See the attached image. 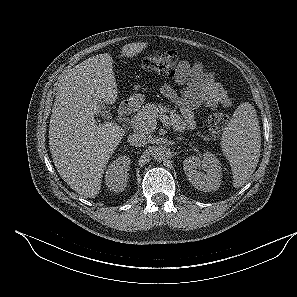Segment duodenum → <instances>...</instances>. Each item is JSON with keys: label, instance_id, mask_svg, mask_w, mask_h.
<instances>
[{"label": "duodenum", "instance_id": "duodenum-1", "mask_svg": "<svg viewBox=\"0 0 297 297\" xmlns=\"http://www.w3.org/2000/svg\"><path fill=\"white\" fill-rule=\"evenodd\" d=\"M137 105L138 103L134 99L123 102L119 107V117L125 118L131 115L136 110Z\"/></svg>", "mask_w": 297, "mask_h": 297}]
</instances>
